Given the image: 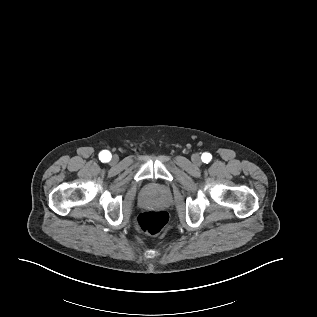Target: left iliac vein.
<instances>
[{
    "mask_svg": "<svg viewBox=\"0 0 317 317\" xmlns=\"http://www.w3.org/2000/svg\"><path fill=\"white\" fill-rule=\"evenodd\" d=\"M191 159L195 165H200L201 159H200V156L198 154H193Z\"/></svg>",
    "mask_w": 317,
    "mask_h": 317,
    "instance_id": "1",
    "label": "left iliac vein"
}]
</instances>
